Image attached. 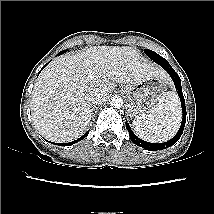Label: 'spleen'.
Listing matches in <instances>:
<instances>
[{
  "label": "spleen",
  "instance_id": "spleen-1",
  "mask_svg": "<svg viewBox=\"0 0 214 214\" xmlns=\"http://www.w3.org/2000/svg\"><path fill=\"white\" fill-rule=\"evenodd\" d=\"M181 107L177 94L169 91L147 114L134 118L135 133L148 142H165L172 138L181 124Z\"/></svg>",
  "mask_w": 214,
  "mask_h": 214
}]
</instances>
